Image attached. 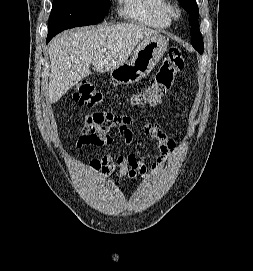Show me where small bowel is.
Returning <instances> with one entry per match:
<instances>
[{"label": "small bowel", "mask_w": 253, "mask_h": 271, "mask_svg": "<svg viewBox=\"0 0 253 271\" xmlns=\"http://www.w3.org/2000/svg\"><path fill=\"white\" fill-rule=\"evenodd\" d=\"M117 131L126 143H131L135 134V120L128 115H118L109 112L92 113L86 116L83 129L77 139L76 146L82 148L88 145L106 146L112 143L111 132ZM143 134L154 140L161 156L151 166L152 170L159 169L178 150L175 139L166 133L158 123L146 124ZM89 169L92 173L106 174L118 168V177L137 178L146 172V163L135 154L109 155L92 158L89 161Z\"/></svg>", "instance_id": "c3829d8e"}]
</instances>
